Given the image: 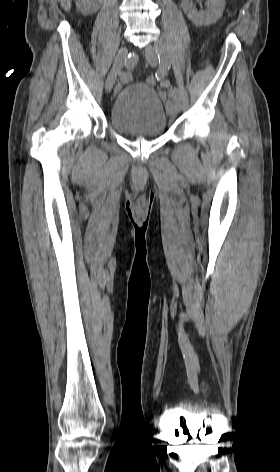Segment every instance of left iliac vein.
Listing matches in <instances>:
<instances>
[{
	"instance_id": "left-iliac-vein-1",
	"label": "left iliac vein",
	"mask_w": 280,
	"mask_h": 472,
	"mask_svg": "<svg viewBox=\"0 0 280 472\" xmlns=\"http://www.w3.org/2000/svg\"><path fill=\"white\" fill-rule=\"evenodd\" d=\"M158 44H163L161 41L158 42ZM145 57L147 62L153 66L156 67L158 65V56H157V50L153 45H148L145 48ZM167 112L171 117H175L178 113V107L176 106L175 102L173 100H168L167 101Z\"/></svg>"
}]
</instances>
